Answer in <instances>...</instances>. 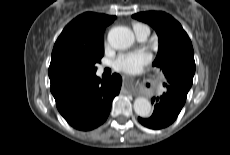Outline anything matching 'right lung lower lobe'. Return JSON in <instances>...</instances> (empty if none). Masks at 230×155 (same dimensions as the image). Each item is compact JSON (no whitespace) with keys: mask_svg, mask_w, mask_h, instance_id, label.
Masks as SVG:
<instances>
[{"mask_svg":"<svg viewBox=\"0 0 230 155\" xmlns=\"http://www.w3.org/2000/svg\"><path fill=\"white\" fill-rule=\"evenodd\" d=\"M51 93L64 119L78 130H92L108 117L113 98L119 94L122 78L113 74L103 81L96 73L50 78Z\"/></svg>","mask_w":230,"mask_h":155,"instance_id":"98d812e1","label":"right lung lower lobe"}]
</instances>
